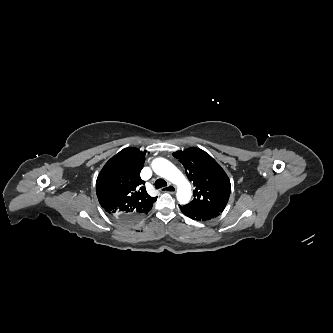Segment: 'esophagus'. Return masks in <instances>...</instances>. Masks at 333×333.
I'll return each mask as SVG.
<instances>
[{"label": "esophagus", "mask_w": 333, "mask_h": 333, "mask_svg": "<svg viewBox=\"0 0 333 333\" xmlns=\"http://www.w3.org/2000/svg\"><path fill=\"white\" fill-rule=\"evenodd\" d=\"M163 190L169 193H174L176 191V187L172 184H169L167 187L163 188Z\"/></svg>", "instance_id": "34e87169"}]
</instances>
